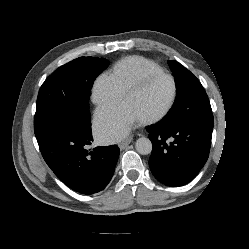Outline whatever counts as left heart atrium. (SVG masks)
I'll use <instances>...</instances> for the list:
<instances>
[{"label": "left heart atrium", "mask_w": 249, "mask_h": 249, "mask_svg": "<svg viewBox=\"0 0 249 249\" xmlns=\"http://www.w3.org/2000/svg\"><path fill=\"white\" fill-rule=\"evenodd\" d=\"M141 118L126 103L119 102L101 108L95 115V132L105 142L125 137Z\"/></svg>", "instance_id": "left-heart-atrium-1"}]
</instances>
